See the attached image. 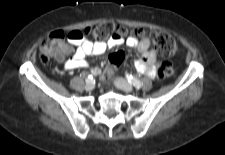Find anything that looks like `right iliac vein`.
Segmentation results:
<instances>
[{"label": "right iliac vein", "mask_w": 225, "mask_h": 155, "mask_svg": "<svg viewBox=\"0 0 225 155\" xmlns=\"http://www.w3.org/2000/svg\"><path fill=\"white\" fill-rule=\"evenodd\" d=\"M93 88H94V85L92 82L86 83V85H85L86 91H91V90H93Z\"/></svg>", "instance_id": "right-iliac-vein-1"}]
</instances>
